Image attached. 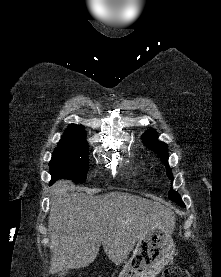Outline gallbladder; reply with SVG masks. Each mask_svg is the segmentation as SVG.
Returning a JSON list of instances; mask_svg holds the SVG:
<instances>
[{
	"instance_id": "1",
	"label": "gallbladder",
	"mask_w": 221,
	"mask_h": 277,
	"mask_svg": "<svg viewBox=\"0 0 221 277\" xmlns=\"http://www.w3.org/2000/svg\"><path fill=\"white\" fill-rule=\"evenodd\" d=\"M68 272H69L68 270H64V271L59 272V275L61 277H63L64 275L68 274Z\"/></svg>"
}]
</instances>
